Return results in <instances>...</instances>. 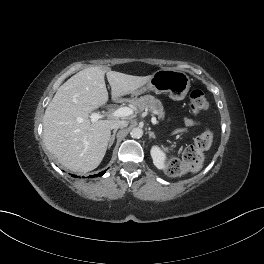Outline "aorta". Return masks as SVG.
I'll use <instances>...</instances> for the list:
<instances>
[{
	"instance_id": "762f6f07",
	"label": "aorta",
	"mask_w": 264,
	"mask_h": 264,
	"mask_svg": "<svg viewBox=\"0 0 264 264\" xmlns=\"http://www.w3.org/2000/svg\"><path fill=\"white\" fill-rule=\"evenodd\" d=\"M130 135L132 138H136L139 139L142 137L143 135V130L139 127L132 129V131L130 132Z\"/></svg>"
}]
</instances>
